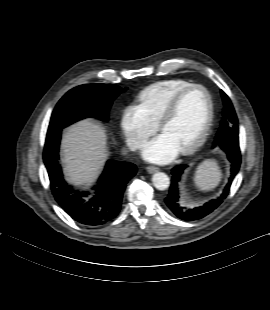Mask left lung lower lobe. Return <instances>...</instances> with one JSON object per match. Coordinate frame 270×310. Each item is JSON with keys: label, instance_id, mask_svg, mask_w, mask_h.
Returning a JSON list of instances; mask_svg holds the SVG:
<instances>
[{"label": "left lung lower lobe", "instance_id": "1", "mask_svg": "<svg viewBox=\"0 0 270 310\" xmlns=\"http://www.w3.org/2000/svg\"><path fill=\"white\" fill-rule=\"evenodd\" d=\"M226 153L229 161L231 162V173L229 176V182L227 183L222 195L219 198L213 199L205 203L202 207L186 208L180 204L178 182L180 181V177L183 173V170L186 168V165H179L172 169L171 185L168 195L165 198V203L178 218L186 221L201 219L211 213L213 210H215L222 203L223 199L226 198L229 193L231 183L236 174L238 173L241 163L239 149L230 150Z\"/></svg>", "mask_w": 270, "mask_h": 310}]
</instances>
